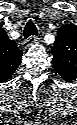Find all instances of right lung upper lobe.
Listing matches in <instances>:
<instances>
[{
	"instance_id": "cb5924a9",
	"label": "right lung upper lobe",
	"mask_w": 77,
	"mask_h": 125,
	"mask_svg": "<svg viewBox=\"0 0 77 125\" xmlns=\"http://www.w3.org/2000/svg\"><path fill=\"white\" fill-rule=\"evenodd\" d=\"M22 51L0 30V81L8 80L21 63Z\"/></svg>"
}]
</instances>
